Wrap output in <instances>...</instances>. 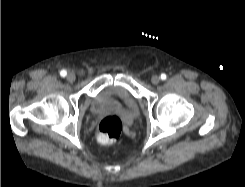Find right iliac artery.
Listing matches in <instances>:
<instances>
[{"label":"right iliac artery","mask_w":245,"mask_h":187,"mask_svg":"<svg viewBox=\"0 0 245 187\" xmlns=\"http://www.w3.org/2000/svg\"><path fill=\"white\" fill-rule=\"evenodd\" d=\"M60 75L62 77H65L67 75V72L65 70H61Z\"/></svg>","instance_id":"1"}]
</instances>
